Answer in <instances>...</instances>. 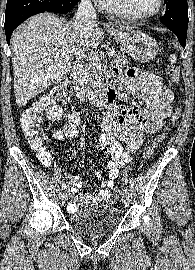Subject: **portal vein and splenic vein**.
<instances>
[{
    "mask_svg": "<svg viewBox=\"0 0 195 270\" xmlns=\"http://www.w3.org/2000/svg\"><path fill=\"white\" fill-rule=\"evenodd\" d=\"M108 56H109L110 58H112V57L115 56V54H114V52H109V53H108ZM90 57H91L92 59H97V58H98V55H96L95 52H91V53H90Z\"/></svg>",
    "mask_w": 195,
    "mask_h": 270,
    "instance_id": "portal-vein-and-splenic-vein-1",
    "label": "portal vein and splenic vein"
}]
</instances>
